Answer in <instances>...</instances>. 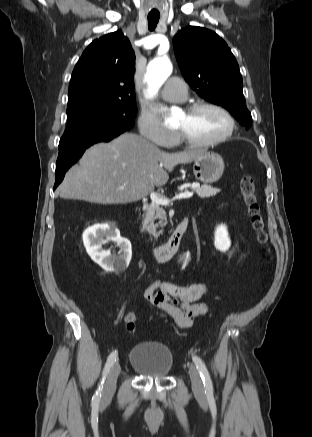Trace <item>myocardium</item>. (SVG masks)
I'll list each match as a JSON object with an SVG mask.
<instances>
[{
  "label": "myocardium",
  "instance_id": "1",
  "mask_svg": "<svg viewBox=\"0 0 312 437\" xmlns=\"http://www.w3.org/2000/svg\"><path fill=\"white\" fill-rule=\"evenodd\" d=\"M202 109H214L216 111H218L219 113H221L227 120V129L226 131L213 139L210 140H206V141H197L194 140L192 138H190L184 131L182 130H178V135H179V139L180 141L188 146H192V147H209V146H214L217 144H220L224 141H226L227 139H229L236 128V122L235 119L233 117V115L230 113V111L228 109H226L224 106L218 104V103H214V102H198L195 104L190 105L187 110L186 113L191 115L194 114Z\"/></svg>",
  "mask_w": 312,
  "mask_h": 437
}]
</instances>
